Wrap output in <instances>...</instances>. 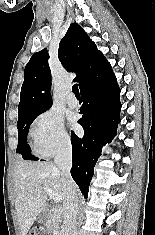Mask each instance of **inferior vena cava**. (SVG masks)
Listing matches in <instances>:
<instances>
[{"label": "inferior vena cava", "instance_id": "602c4592", "mask_svg": "<svg viewBox=\"0 0 155 235\" xmlns=\"http://www.w3.org/2000/svg\"><path fill=\"white\" fill-rule=\"evenodd\" d=\"M54 163L60 169L61 182L64 188V235H77L78 197L77 186L70 173L72 167V147L69 140L59 145Z\"/></svg>", "mask_w": 155, "mask_h": 235}]
</instances>
